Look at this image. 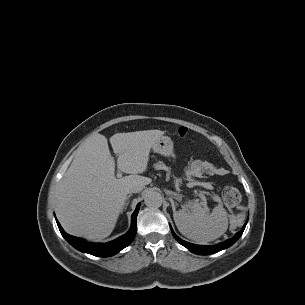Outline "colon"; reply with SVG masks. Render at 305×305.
Returning <instances> with one entry per match:
<instances>
[{
    "label": "colon",
    "mask_w": 305,
    "mask_h": 305,
    "mask_svg": "<svg viewBox=\"0 0 305 305\" xmlns=\"http://www.w3.org/2000/svg\"><path fill=\"white\" fill-rule=\"evenodd\" d=\"M177 133L179 137L183 138L188 134V129L186 127H180ZM222 198L224 203L230 208L237 206L241 201L240 192L231 186L225 187L223 189Z\"/></svg>",
    "instance_id": "1"
}]
</instances>
